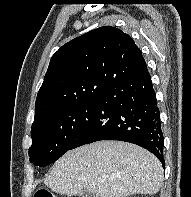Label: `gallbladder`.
<instances>
[{
  "label": "gallbladder",
  "mask_w": 191,
  "mask_h": 197,
  "mask_svg": "<svg viewBox=\"0 0 191 197\" xmlns=\"http://www.w3.org/2000/svg\"><path fill=\"white\" fill-rule=\"evenodd\" d=\"M80 197H95V195L92 194V193H90V192L83 191V192L80 194Z\"/></svg>",
  "instance_id": "1"
}]
</instances>
